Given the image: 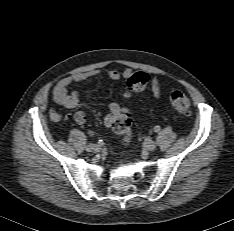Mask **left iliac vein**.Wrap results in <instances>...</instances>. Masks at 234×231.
<instances>
[{
    "label": "left iliac vein",
    "instance_id": "left-iliac-vein-1",
    "mask_svg": "<svg viewBox=\"0 0 234 231\" xmlns=\"http://www.w3.org/2000/svg\"><path fill=\"white\" fill-rule=\"evenodd\" d=\"M145 149L150 152L154 151L156 149V143L154 141L148 142L145 146Z\"/></svg>",
    "mask_w": 234,
    "mask_h": 231
}]
</instances>
